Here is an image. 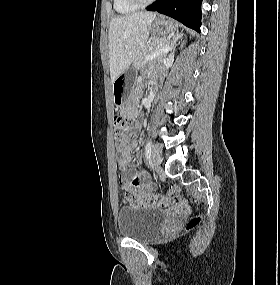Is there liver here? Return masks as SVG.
Wrapping results in <instances>:
<instances>
[{
    "label": "liver",
    "mask_w": 280,
    "mask_h": 285,
    "mask_svg": "<svg viewBox=\"0 0 280 285\" xmlns=\"http://www.w3.org/2000/svg\"><path fill=\"white\" fill-rule=\"evenodd\" d=\"M155 13L135 12L112 19L109 28L111 82L126 71L145 46Z\"/></svg>",
    "instance_id": "1"
}]
</instances>
